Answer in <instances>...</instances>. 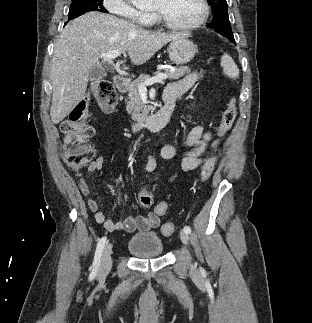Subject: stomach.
<instances>
[{
    "mask_svg": "<svg viewBox=\"0 0 312 323\" xmlns=\"http://www.w3.org/2000/svg\"><path fill=\"white\" fill-rule=\"evenodd\" d=\"M168 54L173 64L181 66V64H188L190 60H193L197 54V48L191 40H188L187 36H180L169 44Z\"/></svg>",
    "mask_w": 312,
    "mask_h": 323,
    "instance_id": "obj_1",
    "label": "stomach"
}]
</instances>
